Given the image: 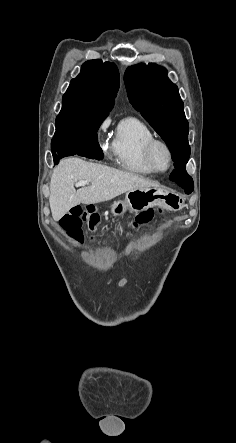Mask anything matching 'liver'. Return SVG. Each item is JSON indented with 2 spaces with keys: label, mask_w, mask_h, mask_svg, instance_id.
Listing matches in <instances>:
<instances>
[{
  "label": "liver",
  "mask_w": 236,
  "mask_h": 443,
  "mask_svg": "<svg viewBox=\"0 0 236 443\" xmlns=\"http://www.w3.org/2000/svg\"><path fill=\"white\" fill-rule=\"evenodd\" d=\"M81 180L91 185L76 191L74 184ZM149 187L159 185L136 174L79 158H66L53 171L49 203L53 219L58 221L78 204H96L130 190Z\"/></svg>",
  "instance_id": "obj_1"
}]
</instances>
